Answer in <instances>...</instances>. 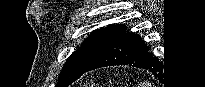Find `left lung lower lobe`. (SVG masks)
<instances>
[{"mask_svg":"<svg viewBox=\"0 0 205 87\" xmlns=\"http://www.w3.org/2000/svg\"><path fill=\"white\" fill-rule=\"evenodd\" d=\"M113 65L143 68L157 76L162 70L161 63L152 57L145 42L139 35L126 32L125 25H119L110 35L85 72Z\"/></svg>","mask_w":205,"mask_h":87,"instance_id":"obj_1","label":"left lung lower lobe"}]
</instances>
